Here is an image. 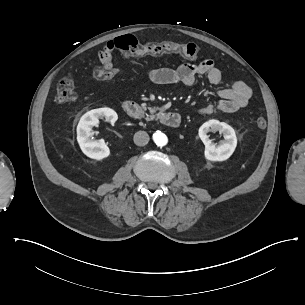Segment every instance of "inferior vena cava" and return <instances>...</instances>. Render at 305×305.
<instances>
[{
  "label": "inferior vena cava",
  "instance_id": "1",
  "mask_svg": "<svg viewBox=\"0 0 305 305\" xmlns=\"http://www.w3.org/2000/svg\"><path fill=\"white\" fill-rule=\"evenodd\" d=\"M133 140L137 146H145L149 142V135L145 131H138L134 134Z\"/></svg>",
  "mask_w": 305,
  "mask_h": 305
}]
</instances>
